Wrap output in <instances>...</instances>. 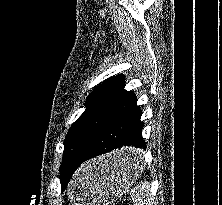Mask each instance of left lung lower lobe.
<instances>
[{
    "label": "left lung lower lobe",
    "instance_id": "1",
    "mask_svg": "<svg viewBox=\"0 0 222 205\" xmlns=\"http://www.w3.org/2000/svg\"><path fill=\"white\" fill-rule=\"evenodd\" d=\"M141 115L142 111L137 106L136 95L132 91H126L107 116L86 155L69 161L68 168L72 175L85 161L114 149L124 146L146 149V142L142 138L144 124L140 120ZM141 158L142 155L138 150L130 148L122 151L115 162L129 165L137 163ZM69 181L61 186L62 192Z\"/></svg>",
    "mask_w": 222,
    "mask_h": 205
}]
</instances>
